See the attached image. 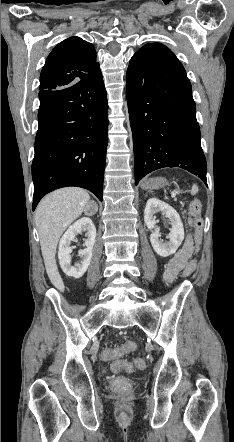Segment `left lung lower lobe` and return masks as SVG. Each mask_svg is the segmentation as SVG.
<instances>
[{
    "mask_svg": "<svg viewBox=\"0 0 234 442\" xmlns=\"http://www.w3.org/2000/svg\"><path fill=\"white\" fill-rule=\"evenodd\" d=\"M135 184L164 167H181L207 185L196 106L177 60L134 55L126 74Z\"/></svg>",
    "mask_w": 234,
    "mask_h": 442,
    "instance_id": "obj_1",
    "label": "left lung lower lobe"
}]
</instances>
